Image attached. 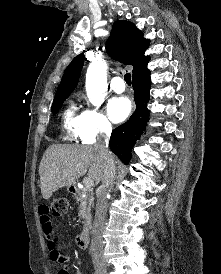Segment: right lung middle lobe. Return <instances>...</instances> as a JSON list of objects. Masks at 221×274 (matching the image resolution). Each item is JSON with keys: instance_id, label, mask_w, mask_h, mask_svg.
I'll return each mask as SVG.
<instances>
[{"instance_id": "dd1d6c3e", "label": "right lung middle lobe", "mask_w": 221, "mask_h": 274, "mask_svg": "<svg viewBox=\"0 0 221 274\" xmlns=\"http://www.w3.org/2000/svg\"><path fill=\"white\" fill-rule=\"evenodd\" d=\"M69 97V94L67 95H61L58 97H55L53 100V104L51 107V111L53 114H56L58 112V110L61 108L64 100H66Z\"/></svg>"}]
</instances>
